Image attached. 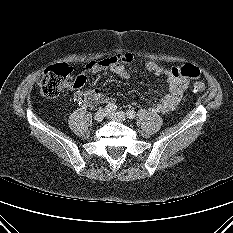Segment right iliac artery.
Here are the masks:
<instances>
[{
  "mask_svg": "<svg viewBox=\"0 0 233 233\" xmlns=\"http://www.w3.org/2000/svg\"><path fill=\"white\" fill-rule=\"evenodd\" d=\"M105 109H106L107 112L113 113V112L116 111L117 106L114 105V104H108V105L105 107Z\"/></svg>",
  "mask_w": 233,
  "mask_h": 233,
  "instance_id": "82829eb1",
  "label": "right iliac artery"
}]
</instances>
